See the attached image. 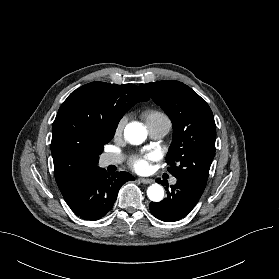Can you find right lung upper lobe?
Here are the masks:
<instances>
[{
	"label": "right lung upper lobe",
	"instance_id": "1",
	"mask_svg": "<svg viewBox=\"0 0 279 279\" xmlns=\"http://www.w3.org/2000/svg\"><path fill=\"white\" fill-rule=\"evenodd\" d=\"M148 100L136 85L100 81L83 85L67 97L54 120L51 141L55 179L65 201L97 166L98 147L114 136L126 111Z\"/></svg>",
	"mask_w": 279,
	"mask_h": 279
}]
</instances>
